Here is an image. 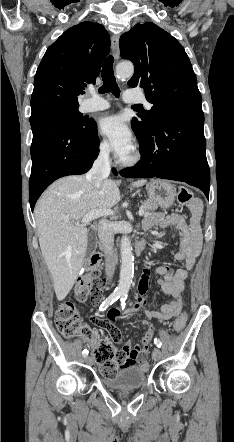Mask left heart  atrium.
<instances>
[{
	"mask_svg": "<svg viewBox=\"0 0 234 442\" xmlns=\"http://www.w3.org/2000/svg\"><path fill=\"white\" fill-rule=\"evenodd\" d=\"M102 135L109 141L112 149L118 157L125 158L133 150L134 139L132 131L121 115L105 117L100 125Z\"/></svg>",
	"mask_w": 234,
	"mask_h": 442,
	"instance_id": "left-heart-atrium-1",
	"label": "left heart atrium"
}]
</instances>
